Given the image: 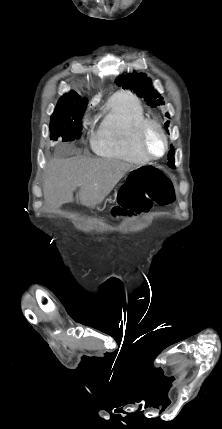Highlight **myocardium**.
<instances>
[{
  "label": "myocardium",
  "mask_w": 222,
  "mask_h": 429,
  "mask_svg": "<svg viewBox=\"0 0 222 429\" xmlns=\"http://www.w3.org/2000/svg\"><path fill=\"white\" fill-rule=\"evenodd\" d=\"M150 128H155V129H157L158 130V132L161 134V136L163 137V140H164V144H165V147H164V151H163V153L160 155V156H155V155H153L150 151H149V149L147 148V146H146V135H147V133H148V131H149V129ZM138 145H139V148H140V150H141V152L148 158V159H150V160H159V159H161V158H163L166 154H167V152H168V150H169V140H168V135H167V133L165 132V130H164V128L161 126V124L158 122V121H156V120H154V119H145L142 123H141V125H140V127H139V132H138Z\"/></svg>",
  "instance_id": "myocardium-1"
}]
</instances>
